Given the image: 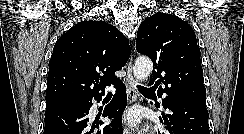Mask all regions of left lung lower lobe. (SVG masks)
<instances>
[{"label": "left lung lower lobe", "instance_id": "0a47b994", "mask_svg": "<svg viewBox=\"0 0 244 134\" xmlns=\"http://www.w3.org/2000/svg\"><path fill=\"white\" fill-rule=\"evenodd\" d=\"M161 95L159 92V97ZM163 107L172 111L169 119L164 118V125H167L170 134H210L206 105L167 96ZM160 120L163 123L161 117Z\"/></svg>", "mask_w": 244, "mask_h": 134}]
</instances>
